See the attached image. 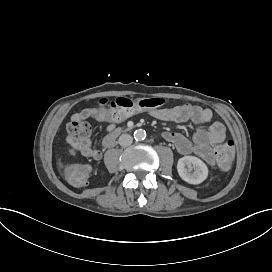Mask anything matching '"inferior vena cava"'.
I'll list each match as a JSON object with an SVG mask.
<instances>
[{
    "label": "inferior vena cava",
    "instance_id": "obj_1",
    "mask_svg": "<svg viewBox=\"0 0 272 272\" xmlns=\"http://www.w3.org/2000/svg\"><path fill=\"white\" fill-rule=\"evenodd\" d=\"M133 142V138L131 135L129 134H122L120 137H119V144L123 147H127L129 145H131Z\"/></svg>",
    "mask_w": 272,
    "mask_h": 272
}]
</instances>
